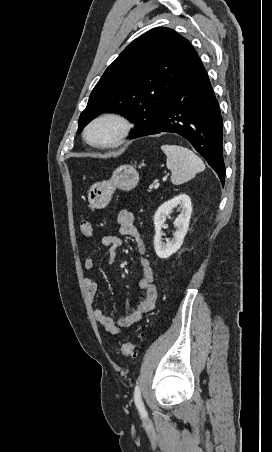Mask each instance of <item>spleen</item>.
<instances>
[{
	"label": "spleen",
	"mask_w": 272,
	"mask_h": 452,
	"mask_svg": "<svg viewBox=\"0 0 272 452\" xmlns=\"http://www.w3.org/2000/svg\"><path fill=\"white\" fill-rule=\"evenodd\" d=\"M161 150L166 154L167 168L171 170V182L174 185L183 184L205 169L201 158L191 150L177 145H162Z\"/></svg>",
	"instance_id": "spleen-1"
}]
</instances>
